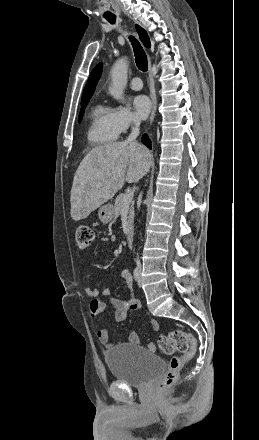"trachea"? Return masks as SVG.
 Wrapping results in <instances>:
<instances>
[{
    "label": "trachea",
    "mask_w": 259,
    "mask_h": 440,
    "mask_svg": "<svg viewBox=\"0 0 259 440\" xmlns=\"http://www.w3.org/2000/svg\"><path fill=\"white\" fill-rule=\"evenodd\" d=\"M108 22H110L111 24H113L115 22V18L112 19H107ZM130 41L132 43L133 46V50H134V54H135V60H136V65L138 67L139 70L145 72L148 69V62H147V56L145 51L143 50L142 46L140 45V43L132 36H130Z\"/></svg>",
    "instance_id": "3493384b"
}]
</instances>
